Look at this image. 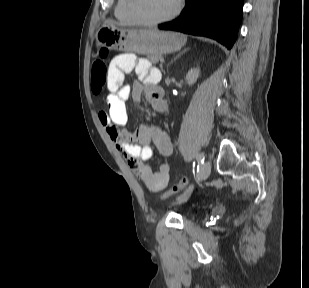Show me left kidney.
Segmentation results:
<instances>
[{
	"label": "left kidney",
	"mask_w": 309,
	"mask_h": 288,
	"mask_svg": "<svg viewBox=\"0 0 309 288\" xmlns=\"http://www.w3.org/2000/svg\"><path fill=\"white\" fill-rule=\"evenodd\" d=\"M199 74H200V70L198 68H193L189 70L185 78L187 83L189 85H193L197 81Z\"/></svg>",
	"instance_id": "left-kidney-1"
}]
</instances>
